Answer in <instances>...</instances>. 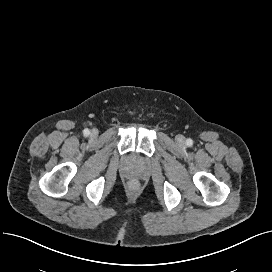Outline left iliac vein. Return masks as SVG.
<instances>
[{"label":"left iliac vein","mask_w":272,"mask_h":272,"mask_svg":"<svg viewBox=\"0 0 272 272\" xmlns=\"http://www.w3.org/2000/svg\"><path fill=\"white\" fill-rule=\"evenodd\" d=\"M176 140L180 144H184V142H185V138L182 135H178Z\"/></svg>","instance_id":"obj_1"}]
</instances>
